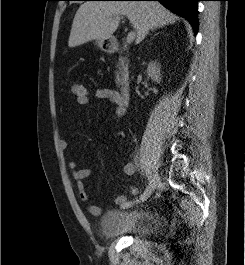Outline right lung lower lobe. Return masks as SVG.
<instances>
[{"label": "right lung lower lobe", "instance_id": "right-lung-lower-lobe-1", "mask_svg": "<svg viewBox=\"0 0 245 265\" xmlns=\"http://www.w3.org/2000/svg\"><path fill=\"white\" fill-rule=\"evenodd\" d=\"M115 1H159L166 8L187 19L193 28L194 34L195 35L197 34L198 31L197 1L200 0H115Z\"/></svg>", "mask_w": 245, "mask_h": 265}]
</instances>
